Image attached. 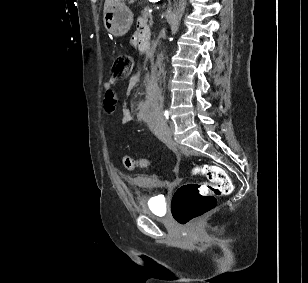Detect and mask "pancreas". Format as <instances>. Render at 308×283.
Here are the masks:
<instances>
[{
    "instance_id": "1",
    "label": "pancreas",
    "mask_w": 308,
    "mask_h": 283,
    "mask_svg": "<svg viewBox=\"0 0 308 283\" xmlns=\"http://www.w3.org/2000/svg\"><path fill=\"white\" fill-rule=\"evenodd\" d=\"M141 15H142V17H143L145 20L150 19V21H152V15H151V13L149 12V7H146V8L141 12Z\"/></svg>"
}]
</instances>
